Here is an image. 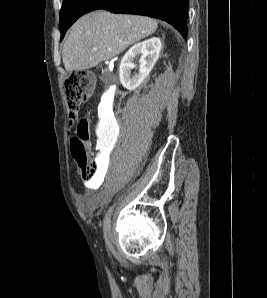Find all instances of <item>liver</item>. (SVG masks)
Listing matches in <instances>:
<instances>
[{
	"mask_svg": "<svg viewBox=\"0 0 267 298\" xmlns=\"http://www.w3.org/2000/svg\"><path fill=\"white\" fill-rule=\"evenodd\" d=\"M158 23L144 16L88 13L72 26L63 47V63L69 72L87 70L119 55L130 45L153 34Z\"/></svg>",
	"mask_w": 267,
	"mask_h": 298,
	"instance_id": "liver-1",
	"label": "liver"
}]
</instances>
